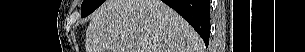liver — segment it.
I'll use <instances>...</instances> for the list:
<instances>
[{
    "label": "liver",
    "instance_id": "1",
    "mask_svg": "<svg viewBox=\"0 0 305 52\" xmlns=\"http://www.w3.org/2000/svg\"><path fill=\"white\" fill-rule=\"evenodd\" d=\"M86 52H204L197 32L160 0H107L92 15Z\"/></svg>",
    "mask_w": 305,
    "mask_h": 52
}]
</instances>
